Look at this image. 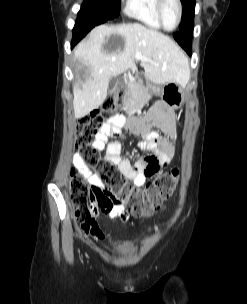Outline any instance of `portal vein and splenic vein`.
<instances>
[{"instance_id": "1", "label": "portal vein and splenic vein", "mask_w": 247, "mask_h": 304, "mask_svg": "<svg viewBox=\"0 0 247 304\" xmlns=\"http://www.w3.org/2000/svg\"><path fill=\"white\" fill-rule=\"evenodd\" d=\"M135 57L140 60H147L141 53L138 52L135 54Z\"/></svg>"}]
</instances>
